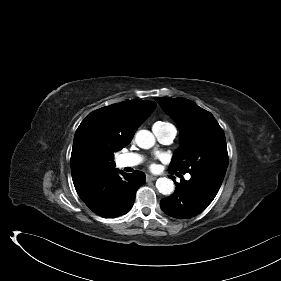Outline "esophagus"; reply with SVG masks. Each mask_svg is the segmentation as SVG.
<instances>
[{"instance_id":"obj_1","label":"esophagus","mask_w":281,"mask_h":281,"mask_svg":"<svg viewBox=\"0 0 281 281\" xmlns=\"http://www.w3.org/2000/svg\"><path fill=\"white\" fill-rule=\"evenodd\" d=\"M156 179H157V177L152 176V175H147V176H146V180H147V181H154V180H156Z\"/></svg>"}]
</instances>
